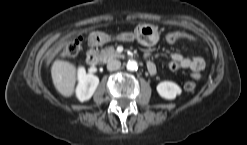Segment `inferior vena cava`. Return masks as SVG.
<instances>
[{
    "label": "inferior vena cava",
    "mask_w": 247,
    "mask_h": 145,
    "mask_svg": "<svg viewBox=\"0 0 247 145\" xmlns=\"http://www.w3.org/2000/svg\"><path fill=\"white\" fill-rule=\"evenodd\" d=\"M120 66H121V62L119 60H116V59H111L107 63V69L109 71L118 70L120 68Z\"/></svg>",
    "instance_id": "inferior-vena-cava-1"
}]
</instances>
